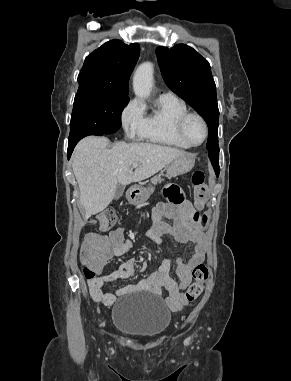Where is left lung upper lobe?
I'll return each mask as SVG.
<instances>
[{"mask_svg":"<svg viewBox=\"0 0 291 381\" xmlns=\"http://www.w3.org/2000/svg\"><path fill=\"white\" fill-rule=\"evenodd\" d=\"M156 54L167 86L192 106L208 124V156L211 162H219V110L210 64L185 44L170 49L158 47Z\"/></svg>","mask_w":291,"mask_h":381,"instance_id":"left-lung-upper-lobe-1","label":"left lung upper lobe"}]
</instances>
